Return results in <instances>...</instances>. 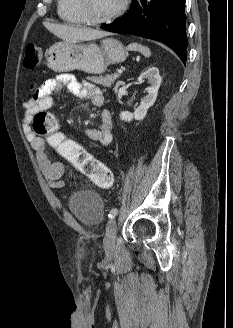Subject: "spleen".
Wrapping results in <instances>:
<instances>
[{"label": "spleen", "mask_w": 233, "mask_h": 328, "mask_svg": "<svg viewBox=\"0 0 233 328\" xmlns=\"http://www.w3.org/2000/svg\"><path fill=\"white\" fill-rule=\"evenodd\" d=\"M127 50L129 51H139L142 55L145 57H150L151 56V51L148 47L143 46L138 43H131L127 46Z\"/></svg>", "instance_id": "3e777b00"}]
</instances>
